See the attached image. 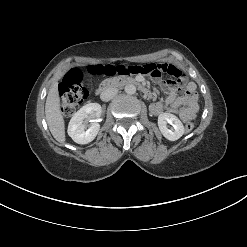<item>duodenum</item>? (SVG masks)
Returning <instances> with one entry per match:
<instances>
[{
  "mask_svg": "<svg viewBox=\"0 0 247 247\" xmlns=\"http://www.w3.org/2000/svg\"><path fill=\"white\" fill-rule=\"evenodd\" d=\"M122 85H134L145 96L150 95L149 89L134 78L117 77L103 81L96 89V95L102 97L108 90Z\"/></svg>",
  "mask_w": 247,
  "mask_h": 247,
  "instance_id": "obj_1",
  "label": "duodenum"
}]
</instances>
